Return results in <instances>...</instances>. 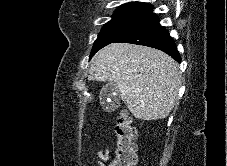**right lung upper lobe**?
Listing matches in <instances>:
<instances>
[{
	"label": "right lung upper lobe",
	"mask_w": 227,
	"mask_h": 166,
	"mask_svg": "<svg viewBox=\"0 0 227 166\" xmlns=\"http://www.w3.org/2000/svg\"><path fill=\"white\" fill-rule=\"evenodd\" d=\"M124 5H146V6H150L147 3H141V2H130V3H126Z\"/></svg>",
	"instance_id": "obj_1"
}]
</instances>
